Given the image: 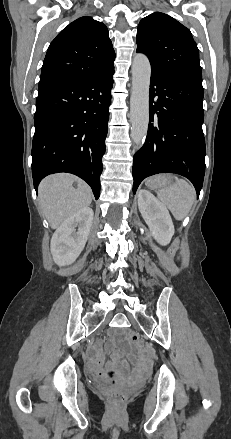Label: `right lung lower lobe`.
<instances>
[{
    "instance_id": "98d812e1",
    "label": "right lung lower lobe",
    "mask_w": 231,
    "mask_h": 439,
    "mask_svg": "<svg viewBox=\"0 0 231 439\" xmlns=\"http://www.w3.org/2000/svg\"><path fill=\"white\" fill-rule=\"evenodd\" d=\"M113 74L114 65L81 82L39 90L32 143L36 190L45 176L69 172L99 198Z\"/></svg>"
}]
</instances>
